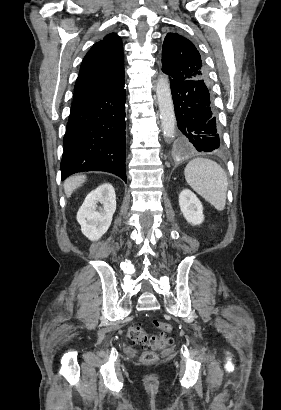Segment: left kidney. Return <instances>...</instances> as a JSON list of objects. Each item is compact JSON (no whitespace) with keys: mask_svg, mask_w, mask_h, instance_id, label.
Masks as SVG:
<instances>
[{"mask_svg":"<svg viewBox=\"0 0 281 410\" xmlns=\"http://www.w3.org/2000/svg\"><path fill=\"white\" fill-rule=\"evenodd\" d=\"M179 206L188 223L200 225L204 221L202 203L191 190L184 189L180 193Z\"/></svg>","mask_w":281,"mask_h":410,"instance_id":"1","label":"left kidney"}]
</instances>
